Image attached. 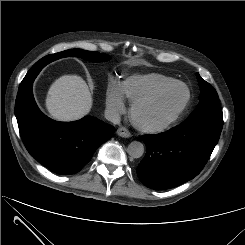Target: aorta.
I'll return each mask as SVG.
<instances>
[{
    "instance_id": "obj_1",
    "label": "aorta",
    "mask_w": 245,
    "mask_h": 245,
    "mask_svg": "<svg viewBox=\"0 0 245 245\" xmlns=\"http://www.w3.org/2000/svg\"><path fill=\"white\" fill-rule=\"evenodd\" d=\"M127 152L133 158H140L144 153V145L139 141H133L128 145Z\"/></svg>"
}]
</instances>
